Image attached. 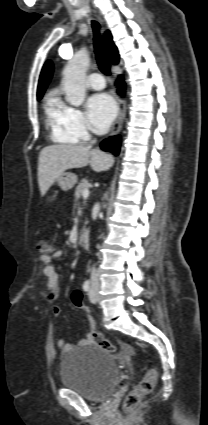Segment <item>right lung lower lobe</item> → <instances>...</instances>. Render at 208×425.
<instances>
[{
    "label": "right lung lower lobe",
    "mask_w": 208,
    "mask_h": 425,
    "mask_svg": "<svg viewBox=\"0 0 208 425\" xmlns=\"http://www.w3.org/2000/svg\"><path fill=\"white\" fill-rule=\"evenodd\" d=\"M123 88H124V84L122 83L119 87V94H123ZM120 143H121L120 137L115 136L102 141L100 144V147L104 151H109L113 153L114 155H118L120 151Z\"/></svg>",
    "instance_id": "98d812e1"
}]
</instances>
